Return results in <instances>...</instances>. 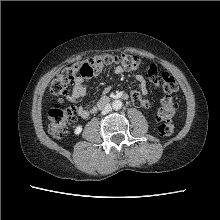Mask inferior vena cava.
Masks as SVG:
<instances>
[{
    "label": "inferior vena cava",
    "instance_id": "1",
    "mask_svg": "<svg viewBox=\"0 0 220 220\" xmlns=\"http://www.w3.org/2000/svg\"><path fill=\"white\" fill-rule=\"evenodd\" d=\"M112 109L110 104H106L104 108H102V114H107Z\"/></svg>",
    "mask_w": 220,
    "mask_h": 220
}]
</instances>
